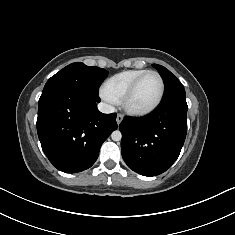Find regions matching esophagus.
Segmentation results:
<instances>
[{"mask_svg":"<svg viewBox=\"0 0 235 235\" xmlns=\"http://www.w3.org/2000/svg\"><path fill=\"white\" fill-rule=\"evenodd\" d=\"M122 120H123V115L121 113H118L116 117L117 124L119 125L122 122Z\"/></svg>","mask_w":235,"mask_h":235,"instance_id":"obj_1","label":"esophagus"}]
</instances>
